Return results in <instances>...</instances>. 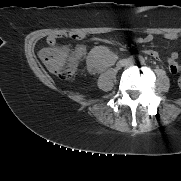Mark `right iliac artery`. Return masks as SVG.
<instances>
[{"label":"right iliac artery","mask_w":181,"mask_h":181,"mask_svg":"<svg viewBox=\"0 0 181 181\" xmlns=\"http://www.w3.org/2000/svg\"><path fill=\"white\" fill-rule=\"evenodd\" d=\"M136 60H137L136 57H133V56H130V57L128 58V61H129L130 63H134Z\"/></svg>","instance_id":"82829eb1"}]
</instances>
